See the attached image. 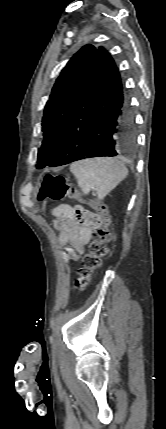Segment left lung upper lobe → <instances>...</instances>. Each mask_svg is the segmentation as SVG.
<instances>
[{
  "mask_svg": "<svg viewBox=\"0 0 166 429\" xmlns=\"http://www.w3.org/2000/svg\"><path fill=\"white\" fill-rule=\"evenodd\" d=\"M96 47L87 44L69 60L57 78L42 119L43 140L38 149V168L53 154L68 124L75 104L90 76Z\"/></svg>",
  "mask_w": 166,
  "mask_h": 429,
  "instance_id": "obj_1",
  "label": "left lung upper lobe"
}]
</instances>
